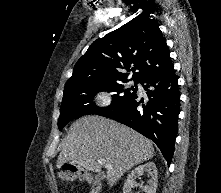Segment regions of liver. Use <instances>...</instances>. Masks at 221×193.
<instances>
[{"mask_svg": "<svg viewBox=\"0 0 221 193\" xmlns=\"http://www.w3.org/2000/svg\"><path fill=\"white\" fill-rule=\"evenodd\" d=\"M153 156L152 142L135 130L114 120L86 116L70 126L57 167L70 162L88 171L100 172L103 165L98 160H105L112 166L105 175L112 187L125 172Z\"/></svg>", "mask_w": 221, "mask_h": 193, "instance_id": "6515ba94", "label": "liver"}]
</instances>
